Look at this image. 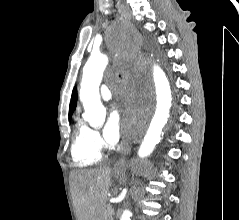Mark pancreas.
Segmentation results:
<instances>
[{
	"label": "pancreas",
	"instance_id": "cf45deb5",
	"mask_svg": "<svg viewBox=\"0 0 239 220\" xmlns=\"http://www.w3.org/2000/svg\"><path fill=\"white\" fill-rule=\"evenodd\" d=\"M112 207L107 205L102 213V220H113Z\"/></svg>",
	"mask_w": 239,
	"mask_h": 220
}]
</instances>
